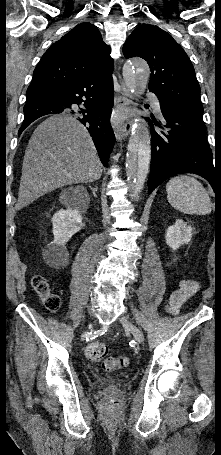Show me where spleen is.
<instances>
[{
    "label": "spleen",
    "instance_id": "obj_1",
    "mask_svg": "<svg viewBox=\"0 0 221 455\" xmlns=\"http://www.w3.org/2000/svg\"><path fill=\"white\" fill-rule=\"evenodd\" d=\"M169 203L186 214L206 215L211 212V200L203 185L195 178L178 175L166 185Z\"/></svg>",
    "mask_w": 221,
    "mask_h": 455
}]
</instances>
